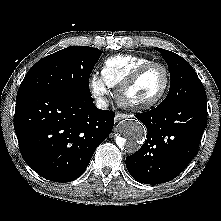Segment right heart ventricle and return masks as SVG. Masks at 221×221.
Returning <instances> with one entry per match:
<instances>
[{
	"instance_id": "obj_1",
	"label": "right heart ventricle",
	"mask_w": 221,
	"mask_h": 221,
	"mask_svg": "<svg viewBox=\"0 0 221 221\" xmlns=\"http://www.w3.org/2000/svg\"><path fill=\"white\" fill-rule=\"evenodd\" d=\"M153 62L142 55H115L105 60L102 67V77L109 87H118L139 67Z\"/></svg>"
}]
</instances>
